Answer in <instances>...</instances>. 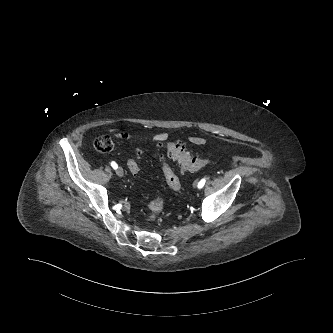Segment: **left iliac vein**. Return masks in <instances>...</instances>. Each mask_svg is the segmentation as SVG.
I'll use <instances>...</instances> for the list:
<instances>
[{
  "instance_id": "obj_1",
  "label": "left iliac vein",
  "mask_w": 333,
  "mask_h": 333,
  "mask_svg": "<svg viewBox=\"0 0 333 333\" xmlns=\"http://www.w3.org/2000/svg\"><path fill=\"white\" fill-rule=\"evenodd\" d=\"M197 183H198V181L196 180V181H194V183H193V186L194 187H196L197 186Z\"/></svg>"
}]
</instances>
